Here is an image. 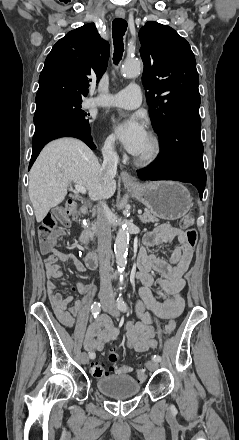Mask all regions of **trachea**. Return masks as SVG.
<instances>
[{
    "label": "trachea",
    "instance_id": "obj_1",
    "mask_svg": "<svg viewBox=\"0 0 239 440\" xmlns=\"http://www.w3.org/2000/svg\"><path fill=\"white\" fill-rule=\"evenodd\" d=\"M127 22L124 18H115L112 23V35L114 43L113 61L118 64L124 52L123 36L127 29Z\"/></svg>",
    "mask_w": 239,
    "mask_h": 440
}]
</instances>
